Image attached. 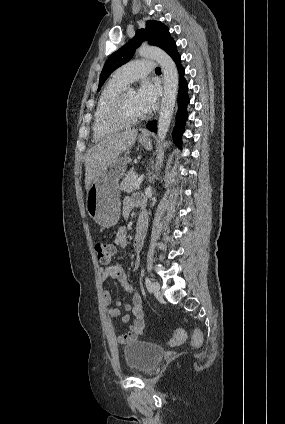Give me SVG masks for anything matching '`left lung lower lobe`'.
<instances>
[{
  "label": "left lung lower lobe",
  "mask_w": 285,
  "mask_h": 424,
  "mask_svg": "<svg viewBox=\"0 0 285 424\" xmlns=\"http://www.w3.org/2000/svg\"><path fill=\"white\" fill-rule=\"evenodd\" d=\"M166 53L174 60V62L177 65L179 74H180V80H179V94H178V111L176 114V123L174 127V143L181 148L182 147V134L185 130V122L188 117L187 114V104L189 103V97L187 94L188 89V83L186 82L184 78V68L180 64L181 58L179 53L176 50V43L173 42V44L169 47V49L166 51ZM147 128L151 131L156 132V121H152L147 124Z\"/></svg>",
  "instance_id": "0a47b994"
}]
</instances>
